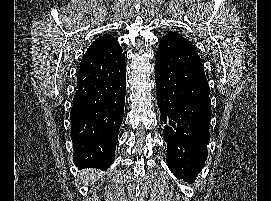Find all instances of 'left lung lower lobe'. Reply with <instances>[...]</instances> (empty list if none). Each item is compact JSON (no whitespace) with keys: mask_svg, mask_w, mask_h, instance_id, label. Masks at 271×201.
I'll return each instance as SVG.
<instances>
[{"mask_svg":"<svg viewBox=\"0 0 271 201\" xmlns=\"http://www.w3.org/2000/svg\"><path fill=\"white\" fill-rule=\"evenodd\" d=\"M155 80L168 166L189 179L207 159L211 107L202 60L188 39L178 33L160 39Z\"/></svg>","mask_w":271,"mask_h":201,"instance_id":"0a47b994","label":"left lung lower lobe"}]
</instances>
